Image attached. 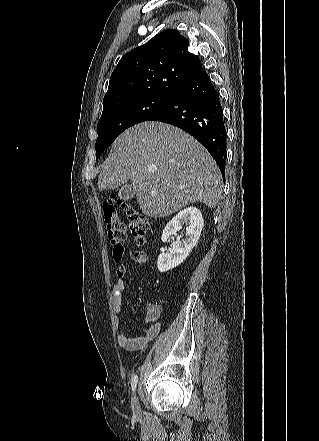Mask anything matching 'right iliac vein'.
<instances>
[{
	"instance_id": "63e3f726",
	"label": "right iliac vein",
	"mask_w": 319,
	"mask_h": 441,
	"mask_svg": "<svg viewBox=\"0 0 319 441\" xmlns=\"http://www.w3.org/2000/svg\"><path fill=\"white\" fill-rule=\"evenodd\" d=\"M132 410L136 416H139L141 413L140 403L136 395H134L132 398Z\"/></svg>"
}]
</instances>
